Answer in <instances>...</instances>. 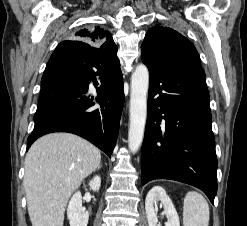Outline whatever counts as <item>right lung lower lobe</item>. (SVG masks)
Wrapping results in <instances>:
<instances>
[{
  "label": "right lung lower lobe",
  "instance_id": "obj_1",
  "mask_svg": "<svg viewBox=\"0 0 247 226\" xmlns=\"http://www.w3.org/2000/svg\"><path fill=\"white\" fill-rule=\"evenodd\" d=\"M101 86L97 97L88 94L90 81ZM99 103L100 107L95 105ZM124 104L123 77L117 47L102 49L71 40L63 41L50 57L41 79L35 126L27 149L52 132L79 135L109 157L115 147Z\"/></svg>",
  "mask_w": 247,
  "mask_h": 226
}]
</instances>
